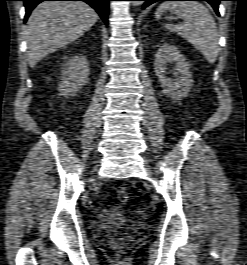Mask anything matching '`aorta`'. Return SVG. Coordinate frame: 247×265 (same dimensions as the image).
Segmentation results:
<instances>
[{
	"instance_id": "1",
	"label": "aorta",
	"mask_w": 247,
	"mask_h": 265,
	"mask_svg": "<svg viewBox=\"0 0 247 265\" xmlns=\"http://www.w3.org/2000/svg\"><path fill=\"white\" fill-rule=\"evenodd\" d=\"M139 4H140L139 1H133V5H134V6H137V5H139Z\"/></svg>"
}]
</instances>
